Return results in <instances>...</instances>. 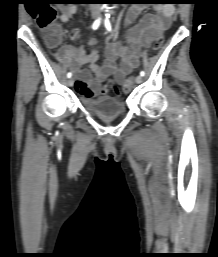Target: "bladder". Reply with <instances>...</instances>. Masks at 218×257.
<instances>
[{
	"label": "bladder",
	"instance_id": "obj_1",
	"mask_svg": "<svg viewBox=\"0 0 218 257\" xmlns=\"http://www.w3.org/2000/svg\"><path fill=\"white\" fill-rule=\"evenodd\" d=\"M84 105L89 111L105 118L118 116L126 110L123 100L110 95L86 98Z\"/></svg>",
	"mask_w": 218,
	"mask_h": 257
}]
</instances>
